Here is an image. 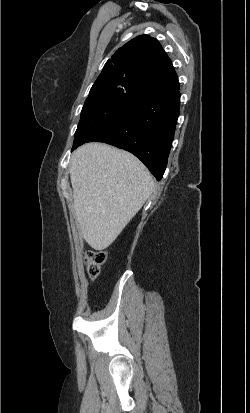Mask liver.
I'll list each match as a JSON object with an SVG mask.
<instances>
[{
    "instance_id": "1",
    "label": "liver",
    "mask_w": 250,
    "mask_h": 413,
    "mask_svg": "<svg viewBox=\"0 0 250 413\" xmlns=\"http://www.w3.org/2000/svg\"><path fill=\"white\" fill-rule=\"evenodd\" d=\"M70 178L78 227L95 250L111 245L151 196V174L131 153L87 143L71 157Z\"/></svg>"
}]
</instances>
